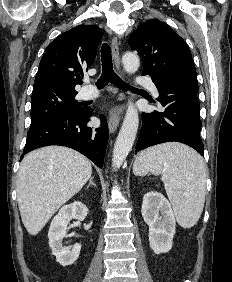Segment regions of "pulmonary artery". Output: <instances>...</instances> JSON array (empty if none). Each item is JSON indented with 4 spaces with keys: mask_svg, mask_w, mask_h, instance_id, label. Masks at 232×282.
Returning <instances> with one entry per match:
<instances>
[{
    "mask_svg": "<svg viewBox=\"0 0 232 282\" xmlns=\"http://www.w3.org/2000/svg\"><path fill=\"white\" fill-rule=\"evenodd\" d=\"M136 82L140 85L146 86L154 96H158V90L155 84L147 77H138ZM81 98L85 100H91L98 97L96 89L92 85H87L81 92Z\"/></svg>",
    "mask_w": 232,
    "mask_h": 282,
    "instance_id": "obj_1",
    "label": "pulmonary artery"
}]
</instances>
